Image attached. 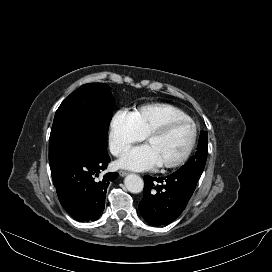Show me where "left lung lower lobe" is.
I'll use <instances>...</instances> for the list:
<instances>
[{"label":"left lung lower lobe","instance_id":"0a47b994","mask_svg":"<svg viewBox=\"0 0 272 272\" xmlns=\"http://www.w3.org/2000/svg\"><path fill=\"white\" fill-rule=\"evenodd\" d=\"M201 172L179 171L167 177H144V196L139 204L142 217L151 225H167L185 209Z\"/></svg>","mask_w":272,"mask_h":272}]
</instances>
